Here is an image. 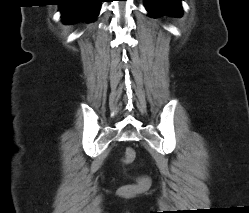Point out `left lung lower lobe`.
I'll list each match as a JSON object with an SVG mask.
<instances>
[{
  "instance_id": "0a47b994",
  "label": "left lung lower lobe",
  "mask_w": 249,
  "mask_h": 213,
  "mask_svg": "<svg viewBox=\"0 0 249 213\" xmlns=\"http://www.w3.org/2000/svg\"><path fill=\"white\" fill-rule=\"evenodd\" d=\"M145 7L150 15L158 16L168 13L176 16L181 15V0H144Z\"/></svg>"
}]
</instances>
